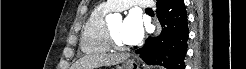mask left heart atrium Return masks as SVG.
<instances>
[{
	"label": "left heart atrium",
	"mask_w": 246,
	"mask_h": 69,
	"mask_svg": "<svg viewBox=\"0 0 246 69\" xmlns=\"http://www.w3.org/2000/svg\"><path fill=\"white\" fill-rule=\"evenodd\" d=\"M123 35L127 44L132 45L141 41L143 26L137 11H130L123 22Z\"/></svg>",
	"instance_id": "left-heart-atrium-1"
}]
</instances>
